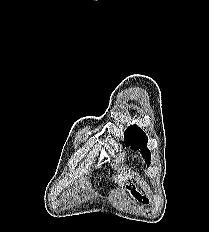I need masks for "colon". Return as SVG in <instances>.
Here are the masks:
<instances>
[{
    "mask_svg": "<svg viewBox=\"0 0 209 232\" xmlns=\"http://www.w3.org/2000/svg\"><path fill=\"white\" fill-rule=\"evenodd\" d=\"M131 193L133 195L134 198H136L137 200L147 203L148 202V198L145 195H142L139 191H137L135 188H130Z\"/></svg>",
    "mask_w": 209,
    "mask_h": 232,
    "instance_id": "colon-1",
    "label": "colon"
}]
</instances>
